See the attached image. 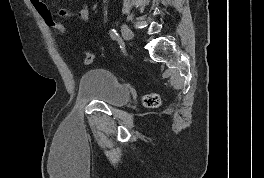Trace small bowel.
Returning <instances> with one entry per match:
<instances>
[{
  "instance_id": "1",
  "label": "small bowel",
  "mask_w": 264,
  "mask_h": 178,
  "mask_svg": "<svg viewBox=\"0 0 264 178\" xmlns=\"http://www.w3.org/2000/svg\"><path fill=\"white\" fill-rule=\"evenodd\" d=\"M61 17L76 16L80 21H87L89 19V7L83 3L79 9L62 8L57 11Z\"/></svg>"
}]
</instances>
